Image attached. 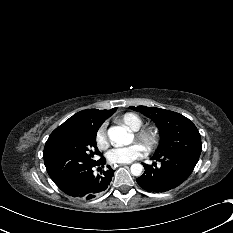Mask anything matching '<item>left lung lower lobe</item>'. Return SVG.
Returning a JSON list of instances; mask_svg holds the SVG:
<instances>
[{"instance_id": "obj_1", "label": "left lung lower lobe", "mask_w": 233, "mask_h": 233, "mask_svg": "<svg viewBox=\"0 0 233 233\" xmlns=\"http://www.w3.org/2000/svg\"><path fill=\"white\" fill-rule=\"evenodd\" d=\"M152 159L159 161L160 167L143 164L145 172L137 178V183L144 190L155 193L166 192L179 186L190 176L197 164V161L178 154H154Z\"/></svg>"}]
</instances>
